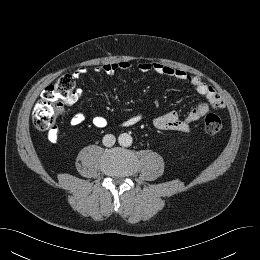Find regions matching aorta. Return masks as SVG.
I'll list each match as a JSON object with an SVG mask.
<instances>
[{"label": "aorta", "mask_w": 260, "mask_h": 260, "mask_svg": "<svg viewBox=\"0 0 260 260\" xmlns=\"http://www.w3.org/2000/svg\"><path fill=\"white\" fill-rule=\"evenodd\" d=\"M133 139L132 136L129 135L128 133H122L118 137V143L122 147H128L132 144Z\"/></svg>", "instance_id": "1"}]
</instances>
